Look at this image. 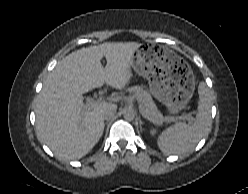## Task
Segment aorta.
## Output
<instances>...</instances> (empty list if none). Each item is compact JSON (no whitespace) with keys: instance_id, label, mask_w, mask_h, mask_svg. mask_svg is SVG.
<instances>
[{"instance_id":"obj_1","label":"aorta","mask_w":248,"mask_h":194,"mask_svg":"<svg viewBox=\"0 0 248 194\" xmlns=\"http://www.w3.org/2000/svg\"><path fill=\"white\" fill-rule=\"evenodd\" d=\"M123 117L125 120L127 121H132L135 117V114L132 110H126L124 113H123Z\"/></svg>"}]
</instances>
